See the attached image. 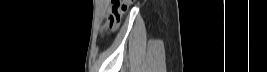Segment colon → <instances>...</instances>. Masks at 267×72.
<instances>
[{
	"instance_id": "5ec220e1",
	"label": "colon",
	"mask_w": 267,
	"mask_h": 72,
	"mask_svg": "<svg viewBox=\"0 0 267 72\" xmlns=\"http://www.w3.org/2000/svg\"><path fill=\"white\" fill-rule=\"evenodd\" d=\"M133 0H111L110 9L108 14L106 13V27L108 29L116 28L122 16L126 13L128 6Z\"/></svg>"
}]
</instances>
